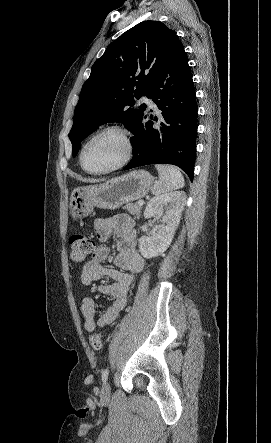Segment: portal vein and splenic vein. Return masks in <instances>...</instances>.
Masks as SVG:
<instances>
[{
    "label": "portal vein and splenic vein",
    "instance_id": "portal-vein-and-splenic-vein-1",
    "mask_svg": "<svg viewBox=\"0 0 271 443\" xmlns=\"http://www.w3.org/2000/svg\"><path fill=\"white\" fill-rule=\"evenodd\" d=\"M138 204H139V206H143V204H145V202H143V200H139Z\"/></svg>",
    "mask_w": 271,
    "mask_h": 443
}]
</instances>
